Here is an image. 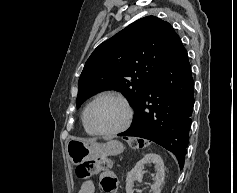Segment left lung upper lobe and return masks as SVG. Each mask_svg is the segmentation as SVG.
Instances as JSON below:
<instances>
[{"instance_id": "1", "label": "left lung upper lobe", "mask_w": 237, "mask_h": 193, "mask_svg": "<svg viewBox=\"0 0 237 193\" xmlns=\"http://www.w3.org/2000/svg\"><path fill=\"white\" fill-rule=\"evenodd\" d=\"M180 43L172 26L155 16L130 24L100 44L86 61L79 78L77 107L92 95L113 89L122 92L137 110Z\"/></svg>"}]
</instances>
